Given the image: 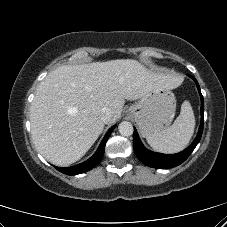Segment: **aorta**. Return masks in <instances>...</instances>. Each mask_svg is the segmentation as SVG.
<instances>
[{
	"label": "aorta",
	"mask_w": 227,
	"mask_h": 227,
	"mask_svg": "<svg viewBox=\"0 0 227 227\" xmlns=\"http://www.w3.org/2000/svg\"><path fill=\"white\" fill-rule=\"evenodd\" d=\"M118 130L122 136H130L133 134V125L128 121H123L119 124Z\"/></svg>",
	"instance_id": "762f6f07"
}]
</instances>
